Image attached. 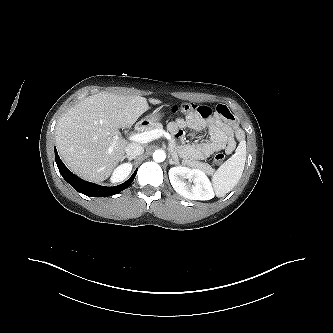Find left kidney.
<instances>
[{
    "label": "left kidney",
    "instance_id": "1",
    "mask_svg": "<svg viewBox=\"0 0 333 333\" xmlns=\"http://www.w3.org/2000/svg\"><path fill=\"white\" fill-rule=\"evenodd\" d=\"M169 179L174 190L187 199L210 200L214 197L213 186L203 170L173 167L169 170Z\"/></svg>",
    "mask_w": 333,
    "mask_h": 333
}]
</instances>
